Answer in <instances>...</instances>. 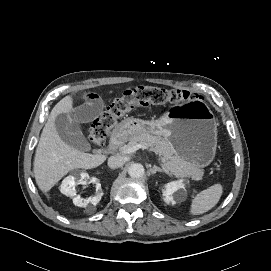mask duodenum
Segmentation results:
<instances>
[{
  "label": "duodenum",
  "instance_id": "410a0bca",
  "mask_svg": "<svg viewBox=\"0 0 271 271\" xmlns=\"http://www.w3.org/2000/svg\"><path fill=\"white\" fill-rule=\"evenodd\" d=\"M124 137H125V130L122 129V128H117L113 131V133L111 134V137H110V145L113 147V148H116L118 147L122 141L124 140Z\"/></svg>",
  "mask_w": 271,
  "mask_h": 271
}]
</instances>
